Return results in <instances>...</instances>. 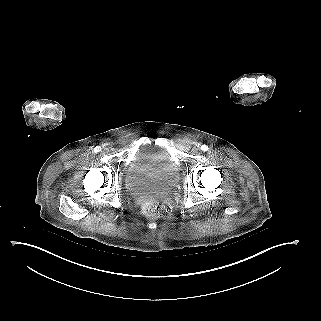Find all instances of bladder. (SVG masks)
Instances as JSON below:
<instances>
[{"instance_id": "31cf9c89", "label": "bladder", "mask_w": 321, "mask_h": 321, "mask_svg": "<svg viewBox=\"0 0 321 321\" xmlns=\"http://www.w3.org/2000/svg\"><path fill=\"white\" fill-rule=\"evenodd\" d=\"M180 180V168L169 151L158 144L141 146L128 164L124 183L133 194L168 192Z\"/></svg>"}]
</instances>
